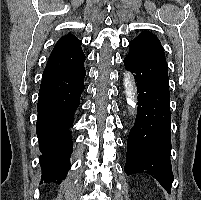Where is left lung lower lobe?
Wrapping results in <instances>:
<instances>
[{"label":"left lung lower lobe","mask_w":201,"mask_h":200,"mask_svg":"<svg viewBox=\"0 0 201 200\" xmlns=\"http://www.w3.org/2000/svg\"><path fill=\"white\" fill-rule=\"evenodd\" d=\"M134 73L138 92L137 116L127 140L125 172L153 176L167 192L174 180L170 152V94L166 59L124 58Z\"/></svg>","instance_id":"0a47b994"}]
</instances>
